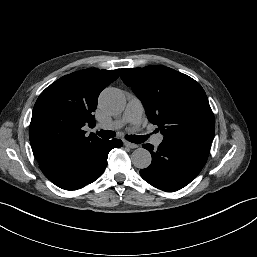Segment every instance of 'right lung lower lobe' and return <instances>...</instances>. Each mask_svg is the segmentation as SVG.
<instances>
[{"label":"right lung lower lobe","instance_id":"right-lung-lower-lobe-1","mask_svg":"<svg viewBox=\"0 0 257 257\" xmlns=\"http://www.w3.org/2000/svg\"><path fill=\"white\" fill-rule=\"evenodd\" d=\"M119 139L100 140L82 150L61 156L55 161L40 165L44 175L56 186L77 190L97 180L107 166L108 153L121 147Z\"/></svg>","mask_w":257,"mask_h":257}]
</instances>
